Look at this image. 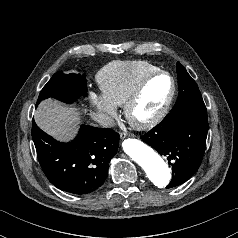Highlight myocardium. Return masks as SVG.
<instances>
[{
  "mask_svg": "<svg viewBox=\"0 0 238 238\" xmlns=\"http://www.w3.org/2000/svg\"><path fill=\"white\" fill-rule=\"evenodd\" d=\"M165 76L170 81V92L169 95L163 104V106L160 108V110L151 118L143 121H139L134 118L133 116V110L137 103L139 102L140 98L142 97L144 90L146 89L148 83L152 81L153 79ZM176 93V84L174 81V78L166 71L158 70L156 72H153L149 75H147L145 78H143L140 83L137 85V87L134 89L128 100L126 101L124 105V114L125 118L128 121V123L137 130H148L156 126L158 123H160L163 118L167 115L172 102L174 100V96Z\"/></svg>",
  "mask_w": 238,
  "mask_h": 238,
  "instance_id": "obj_1",
  "label": "myocardium"
}]
</instances>
